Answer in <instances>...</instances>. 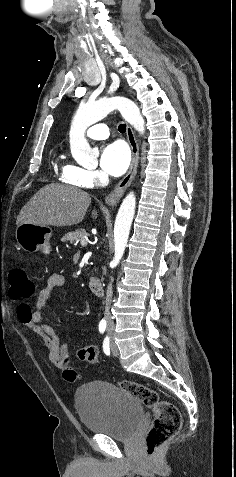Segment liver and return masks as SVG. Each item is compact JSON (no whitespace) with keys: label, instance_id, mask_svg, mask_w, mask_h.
<instances>
[{"label":"liver","instance_id":"1","mask_svg":"<svg viewBox=\"0 0 236 477\" xmlns=\"http://www.w3.org/2000/svg\"><path fill=\"white\" fill-rule=\"evenodd\" d=\"M91 203L89 194L73 186L49 184L41 188L21 209L16 225L72 226L82 222ZM92 217L97 218L93 210Z\"/></svg>","mask_w":236,"mask_h":477}]
</instances>
